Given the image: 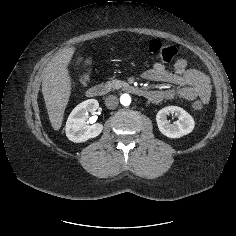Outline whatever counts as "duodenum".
Returning a JSON list of instances; mask_svg holds the SVG:
<instances>
[{
	"label": "duodenum",
	"mask_w": 236,
	"mask_h": 236,
	"mask_svg": "<svg viewBox=\"0 0 236 236\" xmlns=\"http://www.w3.org/2000/svg\"><path fill=\"white\" fill-rule=\"evenodd\" d=\"M123 89L143 98H149L151 91L144 89L134 84H124ZM107 92V87L101 84H96L88 88L86 94L89 98H97L103 96Z\"/></svg>",
	"instance_id": "duodenum-1"
}]
</instances>
